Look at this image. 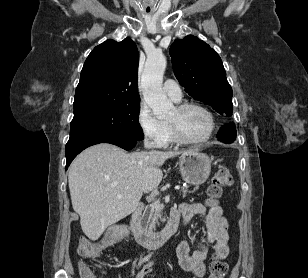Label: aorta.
Returning <instances> with one entry per match:
<instances>
[{"label":"aorta","instance_id":"762f6f07","mask_svg":"<svg viewBox=\"0 0 308 278\" xmlns=\"http://www.w3.org/2000/svg\"><path fill=\"white\" fill-rule=\"evenodd\" d=\"M166 58L161 53L148 56L141 78L144 100L151 107L154 115L163 118L174 108L173 103L162 91Z\"/></svg>","mask_w":308,"mask_h":278}]
</instances>
